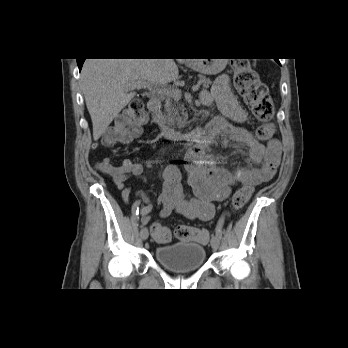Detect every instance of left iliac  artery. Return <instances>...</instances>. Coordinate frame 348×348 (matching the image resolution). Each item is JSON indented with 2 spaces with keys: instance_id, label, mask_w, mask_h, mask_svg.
<instances>
[{
  "instance_id": "44dca946",
  "label": "left iliac artery",
  "mask_w": 348,
  "mask_h": 348,
  "mask_svg": "<svg viewBox=\"0 0 348 348\" xmlns=\"http://www.w3.org/2000/svg\"><path fill=\"white\" fill-rule=\"evenodd\" d=\"M223 219H218V225L216 227V235L221 239L222 238V225Z\"/></svg>"
}]
</instances>
